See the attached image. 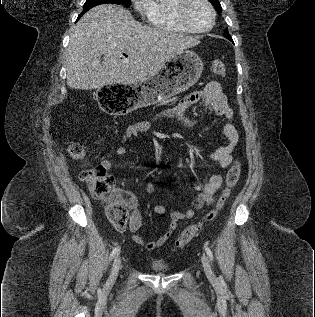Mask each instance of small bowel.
Returning a JSON list of instances; mask_svg holds the SVG:
<instances>
[{
	"instance_id": "c3829d8e",
	"label": "small bowel",
	"mask_w": 315,
	"mask_h": 317,
	"mask_svg": "<svg viewBox=\"0 0 315 317\" xmlns=\"http://www.w3.org/2000/svg\"><path fill=\"white\" fill-rule=\"evenodd\" d=\"M198 102H202L204 109L213 110L216 115L226 119L224 133L227 137V143L212 152L209 155V158L218 162L222 168L228 167L232 162L231 153L238 143L239 135L233 121V111L226 97L223 95L221 86L218 82H210L202 90L195 91L183 97L175 104L174 107L160 113L151 122L143 121L129 125L124 132L123 140L138 137L142 133L148 131L154 122L163 118L175 119L185 127L193 126L195 121L186 117L184 112L188 107ZM116 153L118 155H123L125 153V148L119 147ZM101 165L107 170H110L112 167V161L108 158L103 159ZM222 181V176L215 174L212 175L204 184H191L190 189L198 192V195L192 203V208L184 212L172 211L168 213L163 205L154 203V212L162 219L168 217L169 222L166 225L165 232L153 241L146 240L138 234V231L142 226V215L139 210L136 197L128 191L119 190L120 194L124 197L130 212L129 229L132 233V240L145 247L147 250H153L164 245L177 228L179 221L192 218L196 210L201 209L203 206L210 205L213 202L214 195L221 187ZM146 191L148 194H153L155 192V185L153 182H149L147 184Z\"/></svg>"
}]
</instances>
